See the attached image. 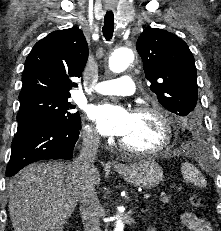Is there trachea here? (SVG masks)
Instances as JSON below:
<instances>
[{"label":"trachea","mask_w":221,"mask_h":231,"mask_svg":"<svg viewBox=\"0 0 221 231\" xmlns=\"http://www.w3.org/2000/svg\"><path fill=\"white\" fill-rule=\"evenodd\" d=\"M102 32L106 40H110L112 38L114 32V14L112 11H108L104 17Z\"/></svg>","instance_id":"obj_1"}]
</instances>
